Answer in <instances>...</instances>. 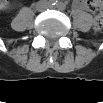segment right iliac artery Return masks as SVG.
Segmentation results:
<instances>
[{
	"label": "right iliac artery",
	"instance_id": "right-iliac-artery-1",
	"mask_svg": "<svg viewBox=\"0 0 103 103\" xmlns=\"http://www.w3.org/2000/svg\"><path fill=\"white\" fill-rule=\"evenodd\" d=\"M50 4H51V5H56V4H57V0H51V1H50Z\"/></svg>",
	"mask_w": 103,
	"mask_h": 103
}]
</instances>
